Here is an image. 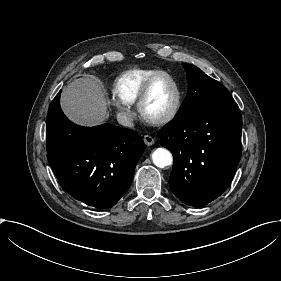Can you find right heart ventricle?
Instances as JSON below:
<instances>
[{"instance_id":"right-heart-ventricle-1","label":"right heart ventricle","mask_w":281,"mask_h":281,"mask_svg":"<svg viewBox=\"0 0 281 281\" xmlns=\"http://www.w3.org/2000/svg\"><path fill=\"white\" fill-rule=\"evenodd\" d=\"M167 73L162 69H134L122 73L113 84L114 94L118 100L130 105L137 102L147 81L158 74Z\"/></svg>"}]
</instances>
